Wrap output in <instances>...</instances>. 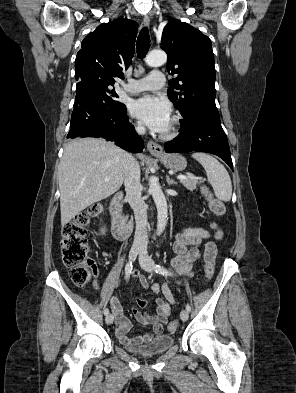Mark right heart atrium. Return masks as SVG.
<instances>
[{
    "label": "right heart atrium",
    "instance_id": "right-heart-atrium-1",
    "mask_svg": "<svg viewBox=\"0 0 296 393\" xmlns=\"http://www.w3.org/2000/svg\"><path fill=\"white\" fill-rule=\"evenodd\" d=\"M135 129H136L138 132H142V131H143V126H142L140 123H136V124H135Z\"/></svg>",
    "mask_w": 296,
    "mask_h": 393
}]
</instances>
